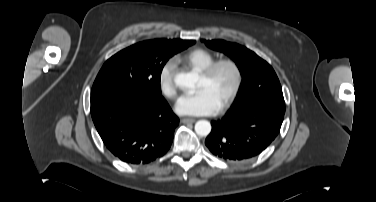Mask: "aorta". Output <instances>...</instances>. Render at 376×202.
<instances>
[{
  "instance_id": "aorta-1",
  "label": "aorta",
  "mask_w": 376,
  "mask_h": 202,
  "mask_svg": "<svg viewBox=\"0 0 376 202\" xmlns=\"http://www.w3.org/2000/svg\"><path fill=\"white\" fill-rule=\"evenodd\" d=\"M198 81V74L195 72H181L178 73L174 82L175 85L181 89H190L194 88ZM195 131L200 136H207L211 132V124L207 120H199L195 124Z\"/></svg>"
}]
</instances>
